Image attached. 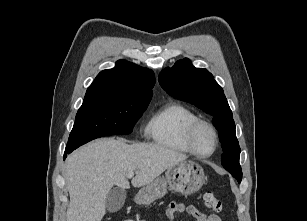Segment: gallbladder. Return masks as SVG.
Wrapping results in <instances>:
<instances>
[{
	"label": "gallbladder",
	"instance_id": "bac80fb5",
	"mask_svg": "<svg viewBox=\"0 0 307 221\" xmlns=\"http://www.w3.org/2000/svg\"><path fill=\"white\" fill-rule=\"evenodd\" d=\"M126 199L125 189L115 187L107 194L105 205L108 212H117L122 208Z\"/></svg>",
	"mask_w": 307,
	"mask_h": 221
}]
</instances>
